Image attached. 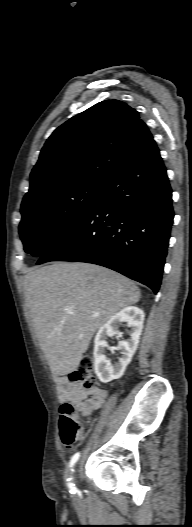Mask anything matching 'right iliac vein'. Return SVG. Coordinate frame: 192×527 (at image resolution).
I'll return each mask as SVG.
<instances>
[{
	"instance_id": "63e3f726",
	"label": "right iliac vein",
	"mask_w": 192,
	"mask_h": 527,
	"mask_svg": "<svg viewBox=\"0 0 192 527\" xmlns=\"http://www.w3.org/2000/svg\"><path fill=\"white\" fill-rule=\"evenodd\" d=\"M75 472H76V470L73 469V471H72V473H71V476H72L73 478H75Z\"/></svg>"
}]
</instances>
